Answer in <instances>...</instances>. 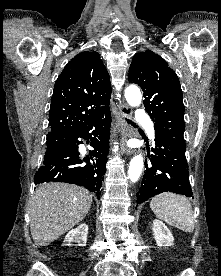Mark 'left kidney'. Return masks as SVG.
Returning a JSON list of instances; mask_svg holds the SVG:
<instances>
[{
  "mask_svg": "<svg viewBox=\"0 0 221 276\" xmlns=\"http://www.w3.org/2000/svg\"><path fill=\"white\" fill-rule=\"evenodd\" d=\"M153 232L158 246L173 245L174 238L168 227L162 221L157 219L153 221Z\"/></svg>",
  "mask_w": 221,
  "mask_h": 276,
  "instance_id": "obj_1",
  "label": "left kidney"
}]
</instances>
